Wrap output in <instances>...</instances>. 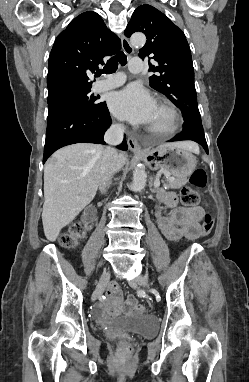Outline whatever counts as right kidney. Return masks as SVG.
Wrapping results in <instances>:
<instances>
[{
  "mask_svg": "<svg viewBox=\"0 0 249 382\" xmlns=\"http://www.w3.org/2000/svg\"><path fill=\"white\" fill-rule=\"evenodd\" d=\"M98 213V208L96 204H89L88 208L85 209L83 216H82V223L86 224L85 228L87 230L94 229L95 228V223H96V218H94L95 214Z\"/></svg>",
  "mask_w": 249,
  "mask_h": 382,
  "instance_id": "obj_1",
  "label": "right kidney"
}]
</instances>
